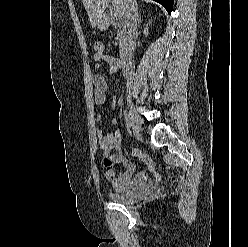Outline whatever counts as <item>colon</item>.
Here are the masks:
<instances>
[{"label":"colon","instance_id":"colon-1","mask_svg":"<svg viewBox=\"0 0 248 247\" xmlns=\"http://www.w3.org/2000/svg\"><path fill=\"white\" fill-rule=\"evenodd\" d=\"M94 50L96 52V54H102L103 50H104V45L102 42L97 41L94 44ZM133 156L135 158L140 159L141 161H143L147 167L149 168L150 171H155L156 170V163L154 162L153 159H151L149 156H147L146 154H144L143 152L139 151V150H135L133 152Z\"/></svg>","mask_w":248,"mask_h":247}]
</instances>
